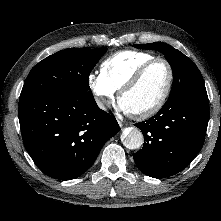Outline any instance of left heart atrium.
<instances>
[{
  "instance_id": "obj_1",
  "label": "left heart atrium",
  "mask_w": 221,
  "mask_h": 221,
  "mask_svg": "<svg viewBox=\"0 0 221 221\" xmlns=\"http://www.w3.org/2000/svg\"><path fill=\"white\" fill-rule=\"evenodd\" d=\"M119 108L124 113H131L130 110L121 102H119Z\"/></svg>"
}]
</instances>
